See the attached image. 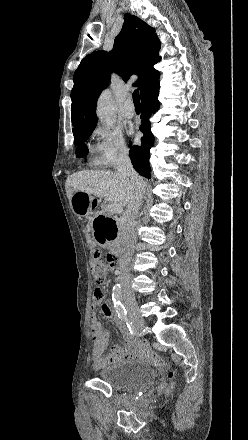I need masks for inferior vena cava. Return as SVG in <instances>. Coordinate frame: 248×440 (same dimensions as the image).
Returning a JSON list of instances; mask_svg holds the SVG:
<instances>
[{
  "mask_svg": "<svg viewBox=\"0 0 248 440\" xmlns=\"http://www.w3.org/2000/svg\"><path fill=\"white\" fill-rule=\"evenodd\" d=\"M117 173L118 175L128 177L136 186L135 197L128 204L120 222L121 251L118 262L121 271L120 280L124 285L130 278L129 262L134 253L136 244L135 219L142 204L143 194L145 192V183L134 170L126 151H123L119 154Z\"/></svg>",
  "mask_w": 248,
  "mask_h": 440,
  "instance_id": "inferior-vena-cava-1",
  "label": "inferior vena cava"
}]
</instances>
